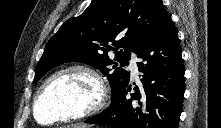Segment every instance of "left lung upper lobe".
<instances>
[{
	"label": "left lung upper lobe",
	"mask_w": 221,
	"mask_h": 128,
	"mask_svg": "<svg viewBox=\"0 0 221 128\" xmlns=\"http://www.w3.org/2000/svg\"><path fill=\"white\" fill-rule=\"evenodd\" d=\"M168 14L162 0H92L81 15L68 19L50 38L33 83L61 63L78 61L107 76L113 99L129 83L130 73L123 67L131 52L136 54ZM111 51L113 60L108 57Z\"/></svg>",
	"instance_id": "5c2ea615"
}]
</instances>
